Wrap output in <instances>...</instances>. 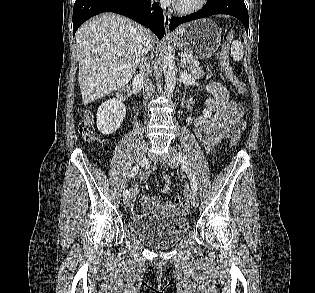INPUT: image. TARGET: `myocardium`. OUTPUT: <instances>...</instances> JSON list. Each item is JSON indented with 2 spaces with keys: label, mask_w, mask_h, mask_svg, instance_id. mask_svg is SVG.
<instances>
[{
  "label": "myocardium",
  "mask_w": 315,
  "mask_h": 293,
  "mask_svg": "<svg viewBox=\"0 0 315 293\" xmlns=\"http://www.w3.org/2000/svg\"><path fill=\"white\" fill-rule=\"evenodd\" d=\"M208 0H198L196 4L189 6V7H184L176 3L175 1L173 2V8L182 14H192L195 12L200 11L207 3Z\"/></svg>",
  "instance_id": "myocardium-1"
}]
</instances>
